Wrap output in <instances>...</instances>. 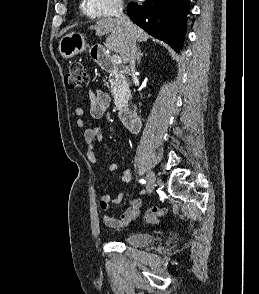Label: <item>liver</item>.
Here are the masks:
<instances>
[{"label": "liver", "instance_id": "6515ba94", "mask_svg": "<svg viewBox=\"0 0 259 294\" xmlns=\"http://www.w3.org/2000/svg\"><path fill=\"white\" fill-rule=\"evenodd\" d=\"M96 31V35L101 36L109 34L106 39L105 47L118 53L124 64L129 62L128 56V34L123 28L120 21L116 18H106L96 22L95 26L90 27ZM132 35L135 41H147L149 35L140 27L132 24Z\"/></svg>", "mask_w": 259, "mask_h": 294}]
</instances>
